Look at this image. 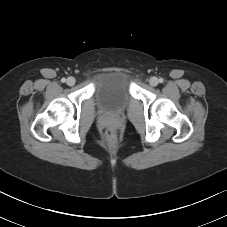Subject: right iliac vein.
<instances>
[{
  "label": "right iliac vein",
  "instance_id": "63e3f726",
  "mask_svg": "<svg viewBox=\"0 0 227 227\" xmlns=\"http://www.w3.org/2000/svg\"><path fill=\"white\" fill-rule=\"evenodd\" d=\"M76 80L74 77H69L66 81V83L69 85V86H73L75 84Z\"/></svg>",
  "mask_w": 227,
  "mask_h": 227
}]
</instances>
